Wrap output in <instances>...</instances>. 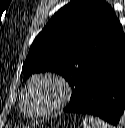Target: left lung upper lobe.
Instances as JSON below:
<instances>
[{
	"label": "left lung upper lobe",
	"instance_id": "5c2ea615",
	"mask_svg": "<svg viewBox=\"0 0 125 128\" xmlns=\"http://www.w3.org/2000/svg\"><path fill=\"white\" fill-rule=\"evenodd\" d=\"M122 34L107 2L73 0L58 10L34 39L22 72L25 78L44 71L62 75L72 88V104L88 73Z\"/></svg>",
	"mask_w": 125,
	"mask_h": 128
}]
</instances>
